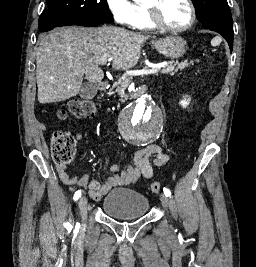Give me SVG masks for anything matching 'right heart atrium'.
<instances>
[{
  "label": "right heart atrium",
  "mask_w": 256,
  "mask_h": 267,
  "mask_svg": "<svg viewBox=\"0 0 256 267\" xmlns=\"http://www.w3.org/2000/svg\"><path fill=\"white\" fill-rule=\"evenodd\" d=\"M114 21L115 22H120L121 25H124L126 27H131L132 25V17L127 16V17H119L116 16L115 14L113 15ZM108 56H113L114 54H107Z\"/></svg>",
  "instance_id": "d8ad5b80"
}]
</instances>
